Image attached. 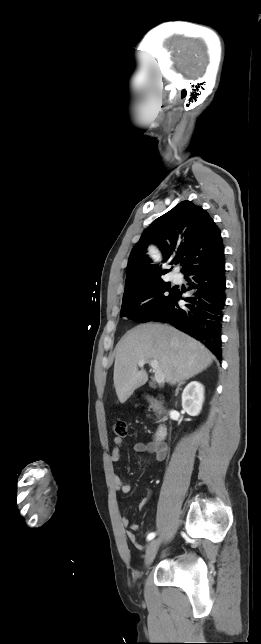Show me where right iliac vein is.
Segmentation results:
<instances>
[{"mask_svg":"<svg viewBox=\"0 0 261 644\" xmlns=\"http://www.w3.org/2000/svg\"><path fill=\"white\" fill-rule=\"evenodd\" d=\"M159 545H160V540L159 539H155V540H153V541H151L149 543V545L147 547V550H146V555H145V566L146 567H149L152 564V562L154 561L155 556H156L157 551H158V548H159Z\"/></svg>","mask_w":261,"mask_h":644,"instance_id":"obj_1","label":"right iliac vein"}]
</instances>
